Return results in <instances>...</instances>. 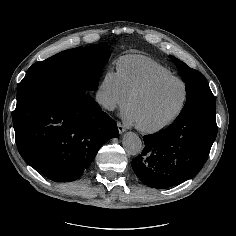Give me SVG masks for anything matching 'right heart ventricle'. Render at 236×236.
I'll use <instances>...</instances> for the list:
<instances>
[{
  "mask_svg": "<svg viewBox=\"0 0 236 236\" xmlns=\"http://www.w3.org/2000/svg\"><path fill=\"white\" fill-rule=\"evenodd\" d=\"M117 72L125 91L130 96L151 80L174 73L159 61L146 55H125L116 61Z\"/></svg>",
  "mask_w": 236,
  "mask_h": 236,
  "instance_id": "right-heart-ventricle-1",
  "label": "right heart ventricle"
}]
</instances>
